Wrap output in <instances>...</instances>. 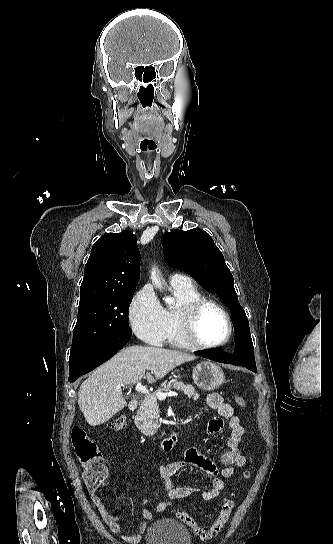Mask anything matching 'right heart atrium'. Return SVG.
I'll return each instance as SVG.
<instances>
[{
  "label": "right heart atrium",
  "mask_w": 333,
  "mask_h": 544,
  "mask_svg": "<svg viewBox=\"0 0 333 544\" xmlns=\"http://www.w3.org/2000/svg\"><path fill=\"white\" fill-rule=\"evenodd\" d=\"M128 315L131 329L138 338L155 346L165 342L168 329L165 310L149 286H144L133 297Z\"/></svg>",
  "instance_id": "d8ad5b80"
}]
</instances>
